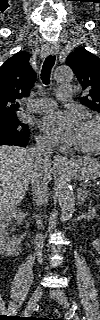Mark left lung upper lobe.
<instances>
[{
  "label": "left lung upper lobe",
  "mask_w": 100,
  "mask_h": 320,
  "mask_svg": "<svg viewBox=\"0 0 100 320\" xmlns=\"http://www.w3.org/2000/svg\"><path fill=\"white\" fill-rule=\"evenodd\" d=\"M66 63L74 71L83 90L88 92L81 103L100 113V58L85 48H78L68 56Z\"/></svg>",
  "instance_id": "obj_1"
}]
</instances>
